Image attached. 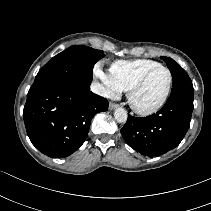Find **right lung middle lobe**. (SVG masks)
Wrapping results in <instances>:
<instances>
[{
	"mask_svg": "<svg viewBox=\"0 0 211 211\" xmlns=\"http://www.w3.org/2000/svg\"><path fill=\"white\" fill-rule=\"evenodd\" d=\"M104 52L83 45H75L53 57L37 74L34 84L61 82L90 88L94 64Z\"/></svg>",
	"mask_w": 211,
	"mask_h": 211,
	"instance_id": "obj_1",
	"label": "right lung middle lobe"
}]
</instances>
